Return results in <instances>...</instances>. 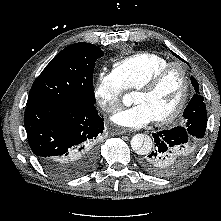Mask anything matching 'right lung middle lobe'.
Instances as JSON below:
<instances>
[{
  "mask_svg": "<svg viewBox=\"0 0 221 221\" xmlns=\"http://www.w3.org/2000/svg\"><path fill=\"white\" fill-rule=\"evenodd\" d=\"M104 52L94 44L79 42L63 49L33 83L29 105L54 103L95 104L93 70Z\"/></svg>",
  "mask_w": 221,
  "mask_h": 221,
  "instance_id": "obj_1",
  "label": "right lung middle lobe"
}]
</instances>
